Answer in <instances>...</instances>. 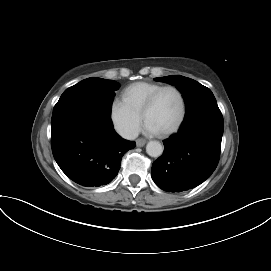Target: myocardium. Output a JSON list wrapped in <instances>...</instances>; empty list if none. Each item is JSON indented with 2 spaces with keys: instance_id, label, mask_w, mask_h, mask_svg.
<instances>
[{
  "instance_id": "myocardium-1",
  "label": "myocardium",
  "mask_w": 271,
  "mask_h": 271,
  "mask_svg": "<svg viewBox=\"0 0 271 271\" xmlns=\"http://www.w3.org/2000/svg\"><path fill=\"white\" fill-rule=\"evenodd\" d=\"M166 90H173L177 93L179 100H180V114H179L177 121L175 122V124L171 128H169L168 130H166L164 132H160V134L162 136H169V135L175 133L184 121V118L186 115V101H185V97H184L182 91L178 87L173 86V85H166V86L160 87L148 98V100L146 101V103L143 106L142 114H141L142 118L146 121L147 114L150 112V110L155 105L160 94Z\"/></svg>"
}]
</instances>
